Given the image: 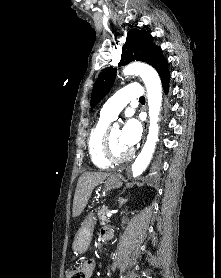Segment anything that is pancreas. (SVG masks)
<instances>
[{
  "instance_id": "pancreas-1",
  "label": "pancreas",
  "mask_w": 221,
  "mask_h": 278,
  "mask_svg": "<svg viewBox=\"0 0 221 278\" xmlns=\"http://www.w3.org/2000/svg\"><path fill=\"white\" fill-rule=\"evenodd\" d=\"M108 208L103 206L98 210V218L101 224H106L109 222L108 218L106 217Z\"/></svg>"
}]
</instances>
